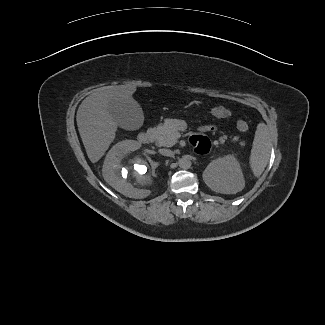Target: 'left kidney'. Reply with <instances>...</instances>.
Masks as SVG:
<instances>
[{"label": "left kidney", "mask_w": 325, "mask_h": 325, "mask_svg": "<svg viewBox=\"0 0 325 325\" xmlns=\"http://www.w3.org/2000/svg\"><path fill=\"white\" fill-rule=\"evenodd\" d=\"M203 180L211 190L222 194H235L245 186L240 164L233 155L211 161Z\"/></svg>", "instance_id": "obj_1"}]
</instances>
